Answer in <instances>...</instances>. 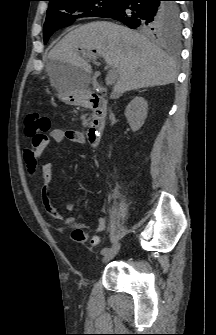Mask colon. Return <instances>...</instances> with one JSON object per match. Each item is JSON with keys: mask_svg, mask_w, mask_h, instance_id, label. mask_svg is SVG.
I'll return each mask as SVG.
<instances>
[{"mask_svg": "<svg viewBox=\"0 0 216 335\" xmlns=\"http://www.w3.org/2000/svg\"><path fill=\"white\" fill-rule=\"evenodd\" d=\"M50 125L51 121L46 115L36 111H32L27 114L25 133L31 139L32 145L38 144L45 138ZM48 196L50 197V193H48ZM71 237L78 243H84L87 241V236L81 229H74L71 233Z\"/></svg>", "mask_w": 216, "mask_h": 335, "instance_id": "colon-1", "label": "colon"}]
</instances>
